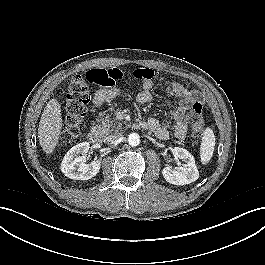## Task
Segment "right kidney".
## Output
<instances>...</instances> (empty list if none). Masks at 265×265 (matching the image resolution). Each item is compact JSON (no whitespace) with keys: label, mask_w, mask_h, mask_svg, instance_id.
I'll list each match as a JSON object with an SVG mask.
<instances>
[{"label":"right kidney","mask_w":265,"mask_h":265,"mask_svg":"<svg viewBox=\"0 0 265 265\" xmlns=\"http://www.w3.org/2000/svg\"><path fill=\"white\" fill-rule=\"evenodd\" d=\"M89 148V142H82L72 147L65 154L61 163V171L65 176L75 180H88L99 172L101 161L86 164L85 153L88 152Z\"/></svg>","instance_id":"ca27d5eb"}]
</instances>
